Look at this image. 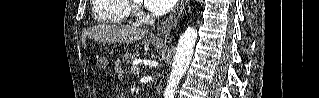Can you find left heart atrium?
Masks as SVG:
<instances>
[{
    "label": "left heart atrium",
    "instance_id": "obj_1",
    "mask_svg": "<svg viewBox=\"0 0 319 98\" xmlns=\"http://www.w3.org/2000/svg\"><path fill=\"white\" fill-rule=\"evenodd\" d=\"M176 0H164V1H159V0H145V6L148 8L149 11H151L155 15H163L167 12H169Z\"/></svg>",
    "mask_w": 319,
    "mask_h": 98
}]
</instances>
